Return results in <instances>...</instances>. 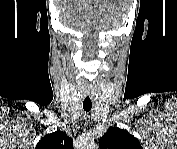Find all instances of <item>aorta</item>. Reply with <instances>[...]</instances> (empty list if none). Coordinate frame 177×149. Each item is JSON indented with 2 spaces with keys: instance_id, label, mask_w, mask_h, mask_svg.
Returning a JSON list of instances; mask_svg holds the SVG:
<instances>
[{
  "instance_id": "762f6f07",
  "label": "aorta",
  "mask_w": 177,
  "mask_h": 149,
  "mask_svg": "<svg viewBox=\"0 0 177 149\" xmlns=\"http://www.w3.org/2000/svg\"><path fill=\"white\" fill-rule=\"evenodd\" d=\"M87 148H89V149H95L96 146L95 145H89V146H87Z\"/></svg>"
}]
</instances>
